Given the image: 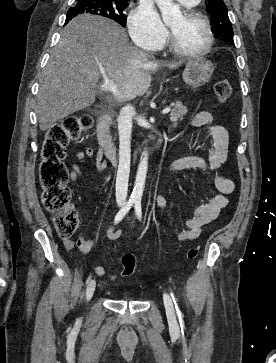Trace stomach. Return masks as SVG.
Returning a JSON list of instances; mask_svg holds the SVG:
<instances>
[{"instance_id": "obj_1", "label": "stomach", "mask_w": 276, "mask_h": 363, "mask_svg": "<svg viewBox=\"0 0 276 363\" xmlns=\"http://www.w3.org/2000/svg\"><path fill=\"white\" fill-rule=\"evenodd\" d=\"M214 66L207 60L188 61L183 71V80L193 88L206 84L212 76Z\"/></svg>"}]
</instances>
